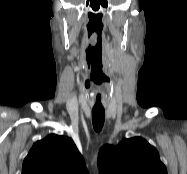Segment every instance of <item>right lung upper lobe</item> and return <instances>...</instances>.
<instances>
[{
	"label": "right lung upper lobe",
	"mask_w": 187,
	"mask_h": 174,
	"mask_svg": "<svg viewBox=\"0 0 187 174\" xmlns=\"http://www.w3.org/2000/svg\"><path fill=\"white\" fill-rule=\"evenodd\" d=\"M22 174H88L82 155L69 137L49 135L24 159Z\"/></svg>",
	"instance_id": "right-lung-upper-lobe-1"
}]
</instances>
